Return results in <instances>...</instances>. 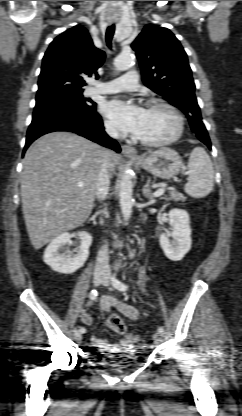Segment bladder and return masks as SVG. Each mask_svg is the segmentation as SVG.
I'll return each mask as SVG.
<instances>
[{"mask_svg":"<svg viewBox=\"0 0 242 416\" xmlns=\"http://www.w3.org/2000/svg\"><path fill=\"white\" fill-rule=\"evenodd\" d=\"M111 367L115 370H119L127 367V365H111Z\"/></svg>","mask_w":242,"mask_h":416,"instance_id":"bladder-1","label":"bladder"}]
</instances>
